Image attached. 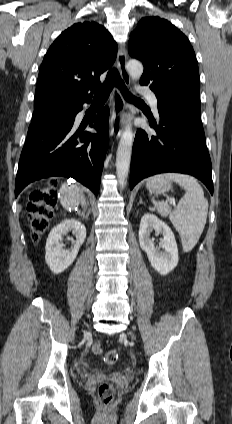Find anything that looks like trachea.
<instances>
[{
  "mask_svg": "<svg viewBox=\"0 0 232 424\" xmlns=\"http://www.w3.org/2000/svg\"><path fill=\"white\" fill-rule=\"evenodd\" d=\"M115 85L120 90L121 94L126 100L135 102V103L143 102L141 99L134 97L129 92V90L125 86V83L121 79L120 74L116 68H113L108 72L107 77L101 86L93 87L91 88V91L95 94L94 96L95 99L106 100L109 97V94Z\"/></svg>",
  "mask_w": 232,
  "mask_h": 424,
  "instance_id": "trachea-1",
  "label": "trachea"
}]
</instances>
